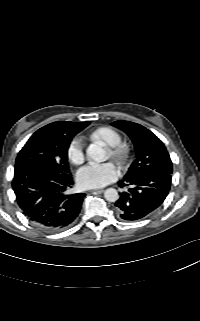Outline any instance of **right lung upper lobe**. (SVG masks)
<instances>
[{"label":"right lung upper lobe","instance_id":"cb5924a9","mask_svg":"<svg viewBox=\"0 0 200 321\" xmlns=\"http://www.w3.org/2000/svg\"><path fill=\"white\" fill-rule=\"evenodd\" d=\"M89 122H70V121H57L48 126L55 132V133H68L72 130L75 126L86 125Z\"/></svg>","mask_w":200,"mask_h":321}]
</instances>
